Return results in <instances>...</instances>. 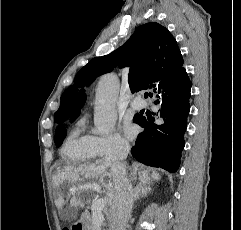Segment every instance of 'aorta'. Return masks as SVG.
Here are the masks:
<instances>
[{
    "label": "aorta",
    "instance_id": "obj_1",
    "mask_svg": "<svg viewBox=\"0 0 241 230\" xmlns=\"http://www.w3.org/2000/svg\"><path fill=\"white\" fill-rule=\"evenodd\" d=\"M118 94L119 79L117 75L109 73L102 76L98 82L95 97V134L108 135L113 131L117 120L116 100Z\"/></svg>",
    "mask_w": 241,
    "mask_h": 230
}]
</instances>
